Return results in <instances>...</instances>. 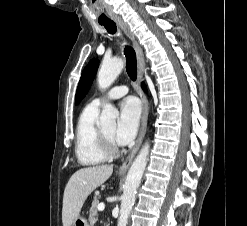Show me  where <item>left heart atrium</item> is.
Masks as SVG:
<instances>
[{
  "label": "left heart atrium",
  "mask_w": 247,
  "mask_h": 226,
  "mask_svg": "<svg viewBox=\"0 0 247 226\" xmlns=\"http://www.w3.org/2000/svg\"><path fill=\"white\" fill-rule=\"evenodd\" d=\"M141 115V107L134 97L124 99L120 104L119 119L113 133V140L118 145H126L136 135Z\"/></svg>",
  "instance_id": "1"
}]
</instances>
